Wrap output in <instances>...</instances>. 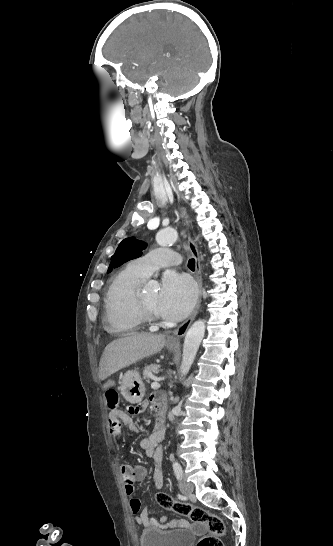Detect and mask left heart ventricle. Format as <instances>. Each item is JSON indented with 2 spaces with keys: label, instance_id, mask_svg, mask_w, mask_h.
<instances>
[{
  "label": "left heart ventricle",
  "instance_id": "b2bd125f",
  "mask_svg": "<svg viewBox=\"0 0 333 546\" xmlns=\"http://www.w3.org/2000/svg\"><path fill=\"white\" fill-rule=\"evenodd\" d=\"M141 298L149 309L157 313L158 292L156 290L142 293Z\"/></svg>",
  "mask_w": 333,
  "mask_h": 546
}]
</instances>
